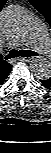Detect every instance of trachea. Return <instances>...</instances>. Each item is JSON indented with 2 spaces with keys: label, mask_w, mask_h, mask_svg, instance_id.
Listing matches in <instances>:
<instances>
[{
  "label": "trachea",
  "mask_w": 51,
  "mask_h": 153,
  "mask_svg": "<svg viewBox=\"0 0 51 153\" xmlns=\"http://www.w3.org/2000/svg\"><path fill=\"white\" fill-rule=\"evenodd\" d=\"M39 54L31 50H11L4 58L6 60L16 58V57H33Z\"/></svg>",
  "instance_id": "obj_1"
}]
</instances>
